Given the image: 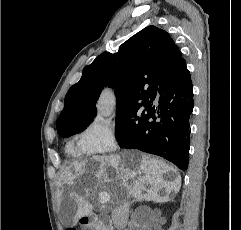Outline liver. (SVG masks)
Returning <instances> with one entry per match:
<instances>
[{"label": "liver", "mask_w": 241, "mask_h": 230, "mask_svg": "<svg viewBox=\"0 0 241 230\" xmlns=\"http://www.w3.org/2000/svg\"><path fill=\"white\" fill-rule=\"evenodd\" d=\"M91 160L96 163V167L90 169L87 165L88 161L74 162L65 173L69 188L76 183L77 179L80 180L84 176L92 175L96 178L90 189H84L86 192L84 197L79 196L75 191H70V197L77 206L74 224L78 219L91 214L93 207L86 197L94 195L97 188L105 184L111 186L109 196L117 205L124 202L125 194L139 201L165 203L171 200L170 194L178 193L181 187V177L175 167L138 151H125L122 156H93ZM109 167L112 168L111 173L107 172ZM167 173L173 175V180L164 178ZM129 180H132L131 184ZM162 190L165 192L164 195L160 194Z\"/></svg>", "instance_id": "liver-1"}]
</instances>
